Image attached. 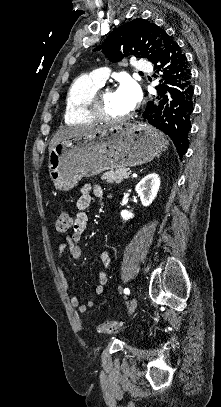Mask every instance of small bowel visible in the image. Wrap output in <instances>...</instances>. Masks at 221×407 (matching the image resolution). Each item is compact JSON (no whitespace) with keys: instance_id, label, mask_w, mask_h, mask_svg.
Wrapping results in <instances>:
<instances>
[{"instance_id":"obj_1","label":"small bowel","mask_w":221,"mask_h":407,"mask_svg":"<svg viewBox=\"0 0 221 407\" xmlns=\"http://www.w3.org/2000/svg\"><path fill=\"white\" fill-rule=\"evenodd\" d=\"M102 197L105 195V188L99 184L86 183L82 185L80 189V196L76 202L77 213L72 222V230L70 235H65L59 246V257H63L67 251L73 259L81 257L82 250L78 245V241L83 236L87 227V214L86 210L89 207L92 195ZM100 260L103 267L97 272L98 284L95 287V293L101 295L104 292V287L108 282V268L110 266V257L107 250H104L100 254ZM59 275L63 286L67 289L68 284L65 275L61 269H59ZM73 308L79 312L84 313L88 308H92L95 304L94 300L90 299L86 304H83L76 295H72L70 299Z\"/></svg>"}]
</instances>
